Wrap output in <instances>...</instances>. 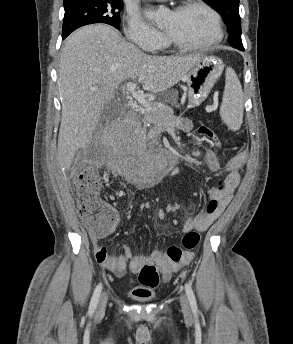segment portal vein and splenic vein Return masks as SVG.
<instances>
[{"label": "portal vein and splenic vein", "instance_id": "portal-vein-and-splenic-vein-1", "mask_svg": "<svg viewBox=\"0 0 293 344\" xmlns=\"http://www.w3.org/2000/svg\"><path fill=\"white\" fill-rule=\"evenodd\" d=\"M136 88V84L133 82H128L126 85V90L133 96V98L139 103L141 104L143 107H145L146 111L148 112H153L154 110H157L156 107L152 106L146 99L144 96H142L141 94L137 93L135 91Z\"/></svg>", "mask_w": 293, "mask_h": 344}]
</instances>
